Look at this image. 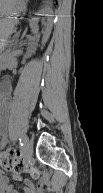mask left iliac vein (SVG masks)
<instances>
[{
  "instance_id": "left-iliac-vein-1",
  "label": "left iliac vein",
  "mask_w": 103,
  "mask_h": 193,
  "mask_svg": "<svg viewBox=\"0 0 103 193\" xmlns=\"http://www.w3.org/2000/svg\"><path fill=\"white\" fill-rule=\"evenodd\" d=\"M33 155V146L30 143H27L25 150V158L29 160Z\"/></svg>"
}]
</instances>
